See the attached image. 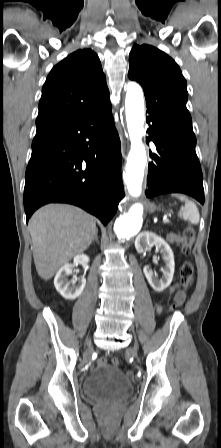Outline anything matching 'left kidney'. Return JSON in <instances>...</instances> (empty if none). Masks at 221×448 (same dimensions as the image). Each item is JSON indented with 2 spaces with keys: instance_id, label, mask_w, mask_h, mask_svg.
Instances as JSON below:
<instances>
[{
  "instance_id": "5707ae66",
  "label": "left kidney",
  "mask_w": 221,
  "mask_h": 448,
  "mask_svg": "<svg viewBox=\"0 0 221 448\" xmlns=\"http://www.w3.org/2000/svg\"><path fill=\"white\" fill-rule=\"evenodd\" d=\"M152 245H155L157 248H159L162 254V258L165 263L163 277L162 279L157 280L153 276L152 270L148 265L143 268V272L150 286L156 292H162L171 284L173 279L175 269L174 254L168 243L162 237L156 235L153 232L144 231L140 233L135 240V248L138 253H143L148 249V247Z\"/></svg>"
}]
</instances>
